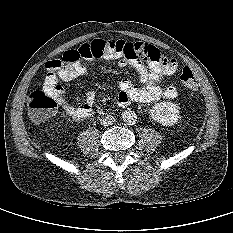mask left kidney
Masks as SVG:
<instances>
[{"mask_svg": "<svg viewBox=\"0 0 233 233\" xmlns=\"http://www.w3.org/2000/svg\"><path fill=\"white\" fill-rule=\"evenodd\" d=\"M179 107L172 102H160L150 110L152 119L164 126H172L179 119Z\"/></svg>", "mask_w": 233, "mask_h": 233, "instance_id": "obj_1", "label": "left kidney"}]
</instances>
